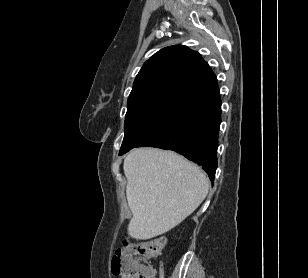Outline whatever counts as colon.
<instances>
[{
    "label": "colon",
    "instance_id": "colon-1",
    "mask_svg": "<svg viewBox=\"0 0 308 278\" xmlns=\"http://www.w3.org/2000/svg\"><path fill=\"white\" fill-rule=\"evenodd\" d=\"M164 245L162 236L139 243L125 240L112 257L113 274L120 278H155L149 261L160 254Z\"/></svg>",
    "mask_w": 308,
    "mask_h": 278
}]
</instances>
